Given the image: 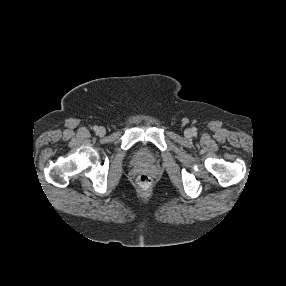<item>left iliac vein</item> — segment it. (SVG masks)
<instances>
[{"label":"left iliac vein","instance_id":"obj_1","mask_svg":"<svg viewBox=\"0 0 286 286\" xmlns=\"http://www.w3.org/2000/svg\"><path fill=\"white\" fill-rule=\"evenodd\" d=\"M184 134H185V136H186L187 138H190V137H192L193 132H192L191 129H186L185 132H184Z\"/></svg>","mask_w":286,"mask_h":286}]
</instances>
